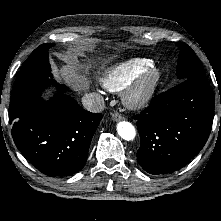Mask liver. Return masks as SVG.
<instances>
[{
	"label": "liver",
	"mask_w": 221,
	"mask_h": 221,
	"mask_svg": "<svg viewBox=\"0 0 221 221\" xmlns=\"http://www.w3.org/2000/svg\"><path fill=\"white\" fill-rule=\"evenodd\" d=\"M90 66L79 62L67 63L57 69V73L65 83L76 91H85L89 87L87 77Z\"/></svg>",
	"instance_id": "liver-1"
}]
</instances>
